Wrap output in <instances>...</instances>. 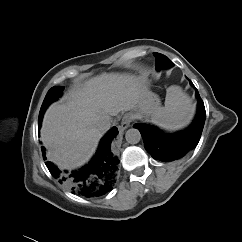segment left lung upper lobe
<instances>
[{
  "instance_id": "obj_1",
  "label": "left lung upper lobe",
  "mask_w": 242,
  "mask_h": 242,
  "mask_svg": "<svg viewBox=\"0 0 242 242\" xmlns=\"http://www.w3.org/2000/svg\"><path fill=\"white\" fill-rule=\"evenodd\" d=\"M154 55L156 57L155 65L157 67V70H160L165 67L169 68L173 66V62L166 56L159 53H154Z\"/></svg>"
}]
</instances>
